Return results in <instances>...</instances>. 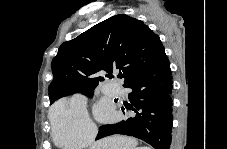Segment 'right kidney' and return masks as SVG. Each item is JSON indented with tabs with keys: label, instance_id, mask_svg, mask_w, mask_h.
Listing matches in <instances>:
<instances>
[{
	"label": "right kidney",
	"instance_id": "ca27d5eb",
	"mask_svg": "<svg viewBox=\"0 0 227 149\" xmlns=\"http://www.w3.org/2000/svg\"><path fill=\"white\" fill-rule=\"evenodd\" d=\"M136 149H146L145 147H139V148H136Z\"/></svg>",
	"mask_w": 227,
	"mask_h": 149
}]
</instances>
